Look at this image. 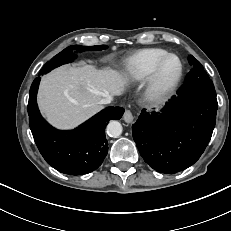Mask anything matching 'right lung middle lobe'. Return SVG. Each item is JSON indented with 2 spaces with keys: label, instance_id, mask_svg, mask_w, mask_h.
Masks as SVG:
<instances>
[{
  "label": "right lung middle lobe",
  "instance_id": "obj_1",
  "mask_svg": "<svg viewBox=\"0 0 231 231\" xmlns=\"http://www.w3.org/2000/svg\"><path fill=\"white\" fill-rule=\"evenodd\" d=\"M107 46L101 45V46H80V45H71L67 48H65L63 51H61L59 54L54 56L49 62H47L42 70L40 71L39 75L46 74L52 69L62 65L69 63L74 60L75 55L73 54V51H91V50H102L106 49Z\"/></svg>",
  "mask_w": 231,
  "mask_h": 231
}]
</instances>
